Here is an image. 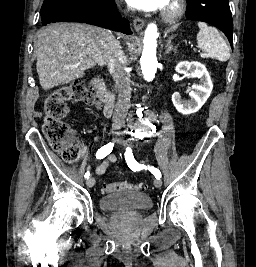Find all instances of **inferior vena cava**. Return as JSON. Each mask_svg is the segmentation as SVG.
<instances>
[{
	"label": "inferior vena cava",
	"instance_id": "obj_1",
	"mask_svg": "<svg viewBox=\"0 0 256 267\" xmlns=\"http://www.w3.org/2000/svg\"><path fill=\"white\" fill-rule=\"evenodd\" d=\"M106 48L105 60L107 66L112 72L113 80L118 90V100L115 106L112 126H124L127 112L130 108L131 88H130V74L126 72V62H124L123 52L121 46L115 38H110Z\"/></svg>",
	"mask_w": 256,
	"mask_h": 267
}]
</instances>
